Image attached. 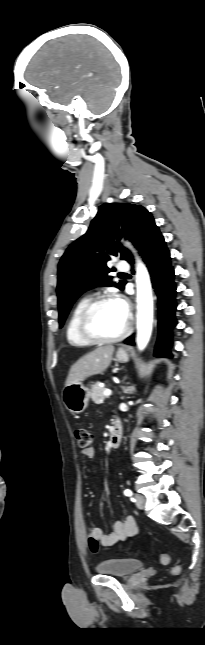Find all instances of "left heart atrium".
<instances>
[{"mask_svg": "<svg viewBox=\"0 0 205 645\" xmlns=\"http://www.w3.org/2000/svg\"><path fill=\"white\" fill-rule=\"evenodd\" d=\"M114 303L118 307V309L121 311V313L124 315L125 318H128L129 316V306L127 301L120 296H117L114 298Z\"/></svg>", "mask_w": 205, "mask_h": 645, "instance_id": "1", "label": "left heart atrium"}]
</instances>
